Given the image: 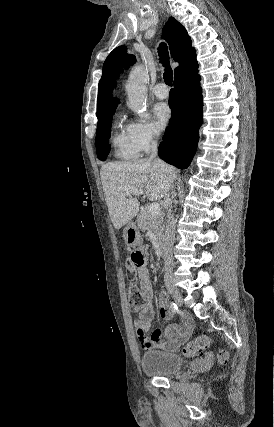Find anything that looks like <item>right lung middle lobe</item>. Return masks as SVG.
Instances as JSON below:
<instances>
[{
  "mask_svg": "<svg viewBox=\"0 0 274 427\" xmlns=\"http://www.w3.org/2000/svg\"><path fill=\"white\" fill-rule=\"evenodd\" d=\"M117 105L98 112V126L96 132V150L97 156L104 161L109 153L110 147L108 139L110 137L111 125L110 120L116 110Z\"/></svg>",
  "mask_w": 274,
  "mask_h": 427,
  "instance_id": "1",
  "label": "right lung middle lobe"
}]
</instances>
